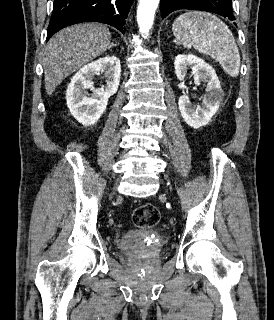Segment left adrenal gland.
<instances>
[{
  "label": "left adrenal gland",
  "mask_w": 274,
  "mask_h": 320,
  "mask_svg": "<svg viewBox=\"0 0 274 320\" xmlns=\"http://www.w3.org/2000/svg\"><path fill=\"white\" fill-rule=\"evenodd\" d=\"M173 42H175V40H173ZM175 44H176L177 48H179L180 42H175Z\"/></svg>",
  "instance_id": "1"
}]
</instances>
